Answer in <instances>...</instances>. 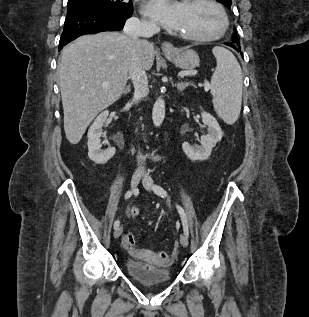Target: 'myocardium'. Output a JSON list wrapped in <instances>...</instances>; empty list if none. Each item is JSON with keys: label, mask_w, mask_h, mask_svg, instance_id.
Returning a JSON list of instances; mask_svg holds the SVG:
<instances>
[{"label": "myocardium", "mask_w": 309, "mask_h": 317, "mask_svg": "<svg viewBox=\"0 0 309 317\" xmlns=\"http://www.w3.org/2000/svg\"><path fill=\"white\" fill-rule=\"evenodd\" d=\"M188 2L193 3H206L213 6L220 16V27L219 29L211 34V35H192V34H185L179 33V36L185 40L193 41V42H211L216 41L222 38L229 28V19L228 15L225 12L223 6L216 0H189Z\"/></svg>", "instance_id": "obj_1"}]
</instances>
